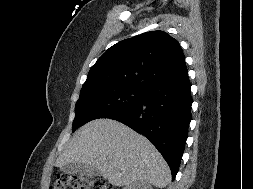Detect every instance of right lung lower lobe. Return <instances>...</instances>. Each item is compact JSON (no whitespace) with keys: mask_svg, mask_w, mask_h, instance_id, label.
<instances>
[{"mask_svg":"<svg viewBox=\"0 0 253 189\" xmlns=\"http://www.w3.org/2000/svg\"><path fill=\"white\" fill-rule=\"evenodd\" d=\"M190 88L189 78L151 87L139 102L107 117L148 138L168 163L172 180L179 169L191 121Z\"/></svg>","mask_w":253,"mask_h":189,"instance_id":"obj_1","label":"right lung lower lobe"}]
</instances>
